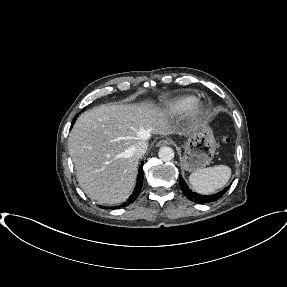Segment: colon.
<instances>
[{
    "mask_svg": "<svg viewBox=\"0 0 287 287\" xmlns=\"http://www.w3.org/2000/svg\"><path fill=\"white\" fill-rule=\"evenodd\" d=\"M224 141H225V142H228V141H229V139H228V138H224Z\"/></svg>",
    "mask_w": 287,
    "mask_h": 287,
    "instance_id": "colon-1",
    "label": "colon"
}]
</instances>
